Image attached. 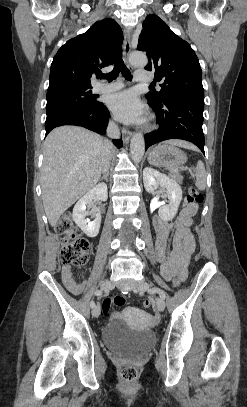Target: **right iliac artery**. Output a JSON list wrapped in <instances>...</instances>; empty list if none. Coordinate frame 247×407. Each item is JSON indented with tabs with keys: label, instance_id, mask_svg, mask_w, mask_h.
Wrapping results in <instances>:
<instances>
[{
	"label": "right iliac artery",
	"instance_id": "obj_1",
	"mask_svg": "<svg viewBox=\"0 0 247 407\" xmlns=\"http://www.w3.org/2000/svg\"><path fill=\"white\" fill-rule=\"evenodd\" d=\"M94 294H95L96 296H100V295L103 294V291H102V289L96 290ZM90 306H91V308H94V307H95L94 301H91V302H90Z\"/></svg>",
	"mask_w": 247,
	"mask_h": 407
}]
</instances>
